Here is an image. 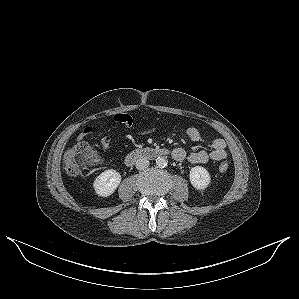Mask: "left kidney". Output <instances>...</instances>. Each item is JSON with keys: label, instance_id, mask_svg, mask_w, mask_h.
Masks as SVG:
<instances>
[{"label": "left kidney", "instance_id": "5707ae66", "mask_svg": "<svg viewBox=\"0 0 299 299\" xmlns=\"http://www.w3.org/2000/svg\"><path fill=\"white\" fill-rule=\"evenodd\" d=\"M190 182L198 190H204L211 182L209 172L202 166L191 168L189 174Z\"/></svg>", "mask_w": 299, "mask_h": 299}]
</instances>
